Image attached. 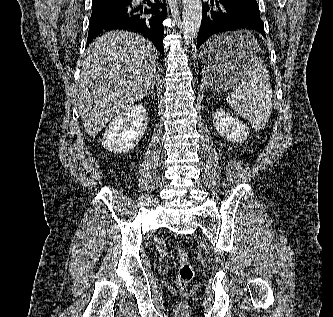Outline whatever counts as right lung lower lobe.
Instances as JSON below:
<instances>
[{
    "instance_id": "98d812e1",
    "label": "right lung lower lobe",
    "mask_w": 333,
    "mask_h": 317,
    "mask_svg": "<svg viewBox=\"0 0 333 317\" xmlns=\"http://www.w3.org/2000/svg\"><path fill=\"white\" fill-rule=\"evenodd\" d=\"M155 2L151 3L147 0V4L151 8L144 10L133 7L131 0L92 6L87 44L103 31L122 29L141 33L152 41L160 53L164 55L162 22L167 16V10L159 0H155ZM159 7H162V12L159 11ZM144 14H152V16L148 17Z\"/></svg>"
}]
</instances>
